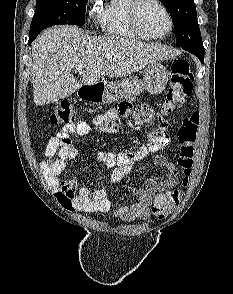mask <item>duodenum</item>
I'll return each instance as SVG.
<instances>
[{
	"label": "duodenum",
	"instance_id": "410a0bca",
	"mask_svg": "<svg viewBox=\"0 0 233 294\" xmlns=\"http://www.w3.org/2000/svg\"><path fill=\"white\" fill-rule=\"evenodd\" d=\"M103 87L99 84L83 86L79 90V96L84 100H92L101 95Z\"/></svg>",
	"mask_w": 233,
	"mask_h": 294
}]
</instances>
